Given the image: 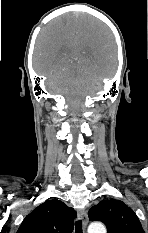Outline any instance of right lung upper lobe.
Returning <instances> with one entry per match:
<instances>
[{"mask_svg":"<svg viewBox=\"0 0 148 233\" xmlns=\"http://www.w3.org/2000/svg\"><path fill=\"white\" fill-rule=\"evenodd\" d=\"M76 211L57 199L39 205L21 223L17 233H72Z\"/></svg>","mask_w":148,"mask_h":233,"instance_id":"right-lung-upper-lobe-1","label":"right lung upper lobe"}]
</instances>
